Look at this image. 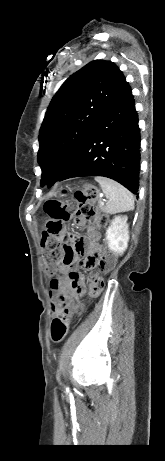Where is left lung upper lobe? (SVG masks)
Returning a JSON list of instances; mask_svg holds the SVG:
<instances>
[{"label": "left lung upper lobe", "mask_w": 165, "mask_h": 461, "mask_svg": "<svg viewBox=\"0 0 165 461\" xmlns=\"http://www.w3.org/2000/svg\"><path fill=\"white\" fill-rule=\"evenodd\" d=\"M125 81L113 62L95 60L63 83L40 128L41 184L52 185L56 181L60 174H54V167L59 162L69 164Z\"/></svg>", "instance_id": "obj_1"}]
</instances>
